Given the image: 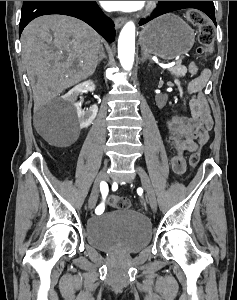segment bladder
I'll return each instance as SVG.
<instances>
[{"mask_svg":"<svg viewBox=\"0 0 237 300\" xmlns=\"http://www.w3.org/2000/svg\"><path fill=\"white\" fill-rule=\"evenodd\" d=\"M152 227L147 217L136 211L116 210L92 216L86 224V239L94 248L130 254L151 241Z\"/></svg>","mask_w":237,"mask_h":300,"instance_id":"31cf9c89","label":"bladder"}]
</instances>
